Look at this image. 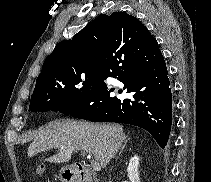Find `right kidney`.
<instances>
[{"label":"right kidney","mask_w":211,"mask_h":182,"mask_svg":"<svg viewBox=\"0 0 211 182\" xmlns=\"http://www.w3.org/2000/svg\"><path fill=\"white\" fill-rule=\"evenodd\" d=\"M139 160L140 159L138 156H134L129 161L127 172H128V178L131 182H141L138 172Z\"/></svg>","instance_id":"1"}]
</instances>
